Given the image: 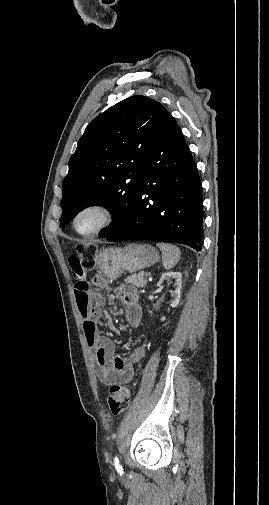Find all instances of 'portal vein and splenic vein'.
<instances>
[{
	"mask_svg": "<svg viewBox=\"0 0 269 505\" xmlns=\"http://www.w3.org/2000/svg\"><path fill=\"white\" fill-rule=\"evenodd\" d=\"M149 275H150V273H148L146 276H149Z\"/></svg>",
	"mask_w": 269,
	"mask_h": 505,
	"instance_id": "obj_1",
	"label": "portal vein and splenic vein"
}]
</instances>
